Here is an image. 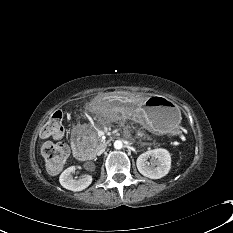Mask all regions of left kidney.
I'll use <instances>...</instances> for the list:
<instances>
[{
	"label": "left kidney",
	"mask_w": 233,
	"mask_h": 233,
	"mask_svg": "<svg viewBox=\"0 0 233 233\" xmlns=\"http://www.w3.org/2000/svg\"><path fill=\"white\" fill-rule=\"evenodd\" d=\"M149 158H151L150 162H148ZM136 165L143 176L160 179L167 175L171 168V156L166 149L149 150L139 155Z\"/></svg>",
	"instance_id": "left-kidney-1"
}]
</instances>
